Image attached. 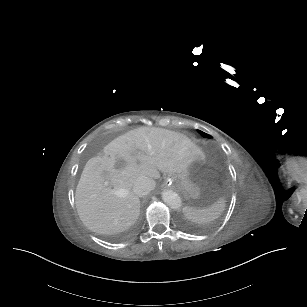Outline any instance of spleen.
Segmentation results:
<instances>
[{
  "label": "spleen",
  "mask_w": 307,
  "mask_h": 307,
  "mask_svg": "<svg viewBox=\"0 0 307 307\" xmlns=\"http://www.w3.org/2000/svg\"><path fill=\"white\" fill-rule=\"evenodd\" d=\"M225 207L226 199L224 197H220L209 207L202 209L188 207L184 210L183 215L186 219L193 223H207L219 218L224 212Z\"/></svg>",
  "instance_id": "spleen-1"
}]
</instances>
